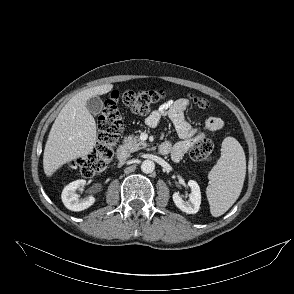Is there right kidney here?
I'll list each match as a JSON object with an SVG mask.
<instances>
[{"instance_id": "ca27d5eb", "label": "right kidney", "mask_w": 294, "mask_h": 294, "mask_svg": "<svg viewBox=\"0 0 294 294\" xmlns=\"http://www.w3.org/2000/svg\"><path fill=\"white\" fill-rule=\"evenodd\" d=\"M86 184V181L76 180L69 183L62 191V202L65 207L71 211H82L95 203V198L93 196H89L86 198H78L76 194V190L80 187H83Z\"/></svg>"}]
</instances>
